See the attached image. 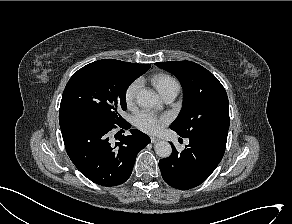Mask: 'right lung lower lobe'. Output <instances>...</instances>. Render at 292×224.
<instances>
[{
	"label": "right lung lower lobe",
	"instance_id": "98d812e1",
	"mask_svg": "<svg viewBox=\"0 0 292 224\" xmlns=\"http://www.w3.org/2000/svg\"><path fill=\"white\" fill-rule=\"evenodd\" d=\"M59 122L71 161L85 177L101 186L126 182L138 152L151 142L148 135L132 129L130 135H120V142L113 145L110 135L118 127L122 128L120 132L128 129L130 124L126 121L108 127L80 114H65L59 116Z\"/></svg>",
	"mask_w": 292,
	"mask_h": 224
}]
</instances>
